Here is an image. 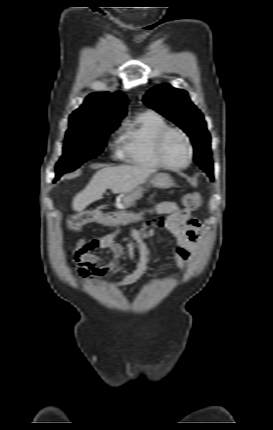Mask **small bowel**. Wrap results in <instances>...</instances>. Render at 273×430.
Segmentation results:
<instances>
[{
  "label": "small bowel",
  "instance_id": "obj_1",
  "mask_svg": "<svg viewBox=\"0 0 273 430\" xmlns=\"http://www.w3.org/2000/svg\"><path fill=\"white\" fill-rule=\"evenodd\" d=\"M155 211L161 214L158 220H153L139 229H129V234L137 245L138 261L136 268L131 273L114 283L116 287L136 283L149 269L150 249L145 240L154 236L157 227L166 228L174 236L173 256L181 270L186 268L191 257L196 253L202 239V232L200 223L190 215V212L180 211L173 202H160L155 206ZM119 233L120 230L117 229L111 233L80 242V244L87 245L89 252L96 249H109L113 255L112 260L102 266L96 256L91 255L88 251H82L79 258H74V263H76L77 272L82 276L83 281L92 280L99 284L101 277H91L90 275H102L118 265L124 255V247L116 242Z\"/></svg>",
  "mask_w": 273,
  "mask_h": 430
}]
</instances>
